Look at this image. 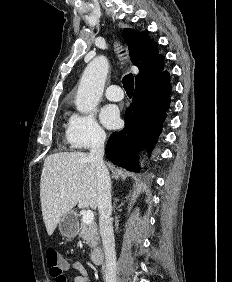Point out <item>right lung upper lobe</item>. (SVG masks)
Instances as JSON below:
<instances>
[{
    "mask_svg": "<svg viewBox=\"0 0 232 282\" xmlns=\"http://www.w3.org/2000/svg\"><path fill=\"white\" fill-rule=\"evenodd\" d=\"M147 33L129 28L123 30L131 62L139 68L136 80L154 76L164 70L165 58L159 54L158 44Z\"/></svg>",
    "mask_w": 232,
    "mask_h": 282,
    "instance_id": "cb5924a9",
    "label": "right lung upper lobe"
}]
</instances>
